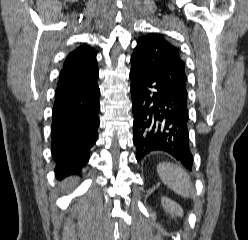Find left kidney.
<instances>
[{
    "mask_svg": "<svg viewBox=\"0 0 248 240\" xmlns=\"http://www.w3.org/2000/svg\"><path fill=\"white\" fill-rule=\"evenodd\" d=\"M161 205L165 212L169 213L172 217H181L183 216V210L179 204L172 201L167 197L161 198Z\"/></svg>",
    "mask_w": 248,
    "mask_h": 240,
    "instance_id": "obj_1",
    "label": "left kidney"
}]
</instances>
